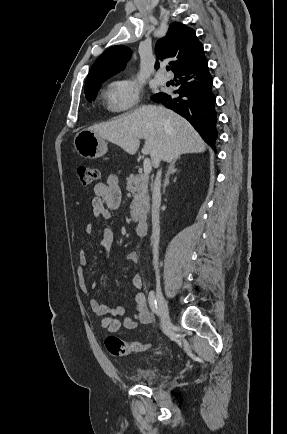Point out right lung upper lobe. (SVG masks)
Returning a JSON list of instances; mask_svg holds the SVG:
<instances>
[{
	"label": "right lung upper lobe",
	"mask_w": 287,
	"mask_h": 434,
	"mask_svg": "<svg viewBox=\"0 0 287 434\" xmlns=\"http://www.w3.org/2000/svg\"><path fill=\"white\" fill-rule=\"evenodd\" d=\"M155 50L159 56L173 58L170 65L175 74L188 66L203 52V45L197 39L193 29L180 22H173L166 36L157 41ZM130 55V48L123 45H116L107 49L92 65L86 84L106 80L120 72L125 68ZM155 66L156 68L159 67L158 61Z\"/></svg>",
	"instance_id": "obj_1"
}]
</instances>
